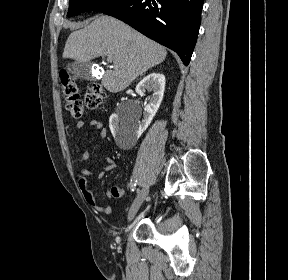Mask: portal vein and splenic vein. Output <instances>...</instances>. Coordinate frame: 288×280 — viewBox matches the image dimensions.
<instances>
[{
  "label": "portal vein and splenic vein",
  "instance_id": "obj_1",
  "mask_svg": "<svg viewBox=\"0 0 288 280\" xmlns=\"http://www.w3.org/2000/svg\"><path fill=\"white\" fill-rule=\"evenodd\" d=\"M107 61L111 63L112 62V58L111 57H107Z\"/></svg>",
  "mask_w": 288,
  "mask_h": 280
}]
</instances>
